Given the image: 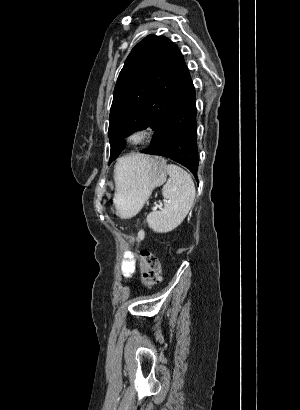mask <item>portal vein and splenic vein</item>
Instances as JSON below:
<instances>
[{
    "label": "portal vein and splenic vein",
    "instance_id": "18ae733b",
    "mask_svg": "<svg viewBox=\"0 0 300 410\" xmlns=\"http://www.w3.org/2000/svg\"><path fill=\"white\" fill-rule=\"evenodd\" d=\"M158 208V206H156L155 208H154V210H156Z\"/></svg>",
    "mask_w": 300,
    "mask_h": 410
}]
</instances>
